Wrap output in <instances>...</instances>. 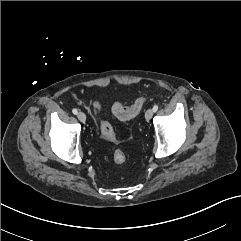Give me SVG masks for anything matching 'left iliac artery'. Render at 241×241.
<instances>
[{
    "mask_svg": "<svg viewBox=\"0 0 241 241\" xmlns=\"http://www.w3.org/2000/svg\"><path fill=\"white\" fill-rule=\"evenodd\" d=\"M158 110V105L153 106V111L156 112Z\"/></svg>",
    "mask_w": 241,
    "mask_h": 241,
    "instance_id": "1",
    "label": "left iliac artery"
}]
</instances>
